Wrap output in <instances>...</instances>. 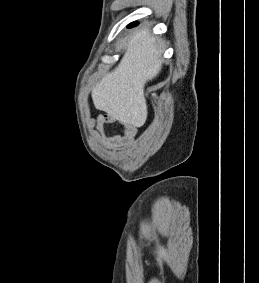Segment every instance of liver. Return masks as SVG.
Masks as SVG:
<instances>
[{
    "label": "liver",
    "instance_id": "obj_1",
    "mask_svg": "<svg viewBox=\"0 0 259 283\" xmlns=\"http://www.w3.org/2000/svg\"><path fill=\"white\" fill-rule=\"evenodd\" d=\"M162 53L148 30L133 35L118 66L92 89L95 108L123 123L143 126L147 119L144 87L161 71Z\"/></svg>",
    "mask_w": 259,
    "mask_h": 283
}]
</instances>
